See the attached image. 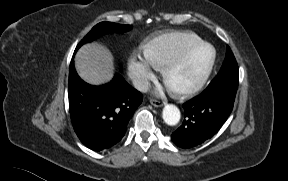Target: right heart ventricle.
<instances>
[{
    "label": "right heart ventricle",
    "mask_w": 288,
    "mask_h": 181,
    "mask_svg": "<svg viewBox=\"0 0 288 181\" xmlns=\"http://www.w3.org/2000/svg\"><path fill=\"white\" fill-rule=\"evenodd\" d=\"M202 42L203 39L194 32L172 31L152 38L145 45L144 53L158 68H162L188 48Z\"/></svg>",
    "instance_id": "e07e8e85"
}]
</instances>
